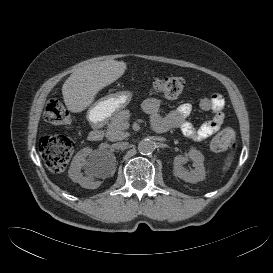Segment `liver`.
Instances as JSON below:
<instances>
[{
  "instance_id": "obj_1",
  "label": "liver",
  "mask_w": 273,
  "mask_h": 273,
  "mask_svg": "<svg viewBox=\"0 0 273 273\" xmlns=\"http://www.w3.org/2000/svg\"><path fill=\"white\" fill-rule=\"evenodd\" d=\"M123 61L105 60L84 65L74 71L62 86L67 109L74 113L92 104L96 94L119 79L126 71Z\"/></svg>"
}]
</instances>
